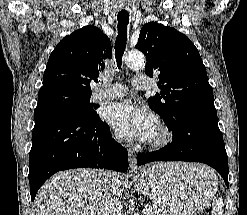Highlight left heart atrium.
Instances as JSON below:
<instances>
[{"mask_svg":"<svg viewBox=\"0 0 247 215\" xmlns=\"http://www.w3.org/2000/svg\"><path fill=\"white\" fill-rule=\"evenodd\" d=\"M105 117L115 132L123 138L148 140L157 130L155 116L131 100L110 105L105 111Z\"/></svg>","mask_w":247,"mask_h":215,"instance_id":"left-heart-atrium-1","label":"left heart atrium"}]
</instances>
